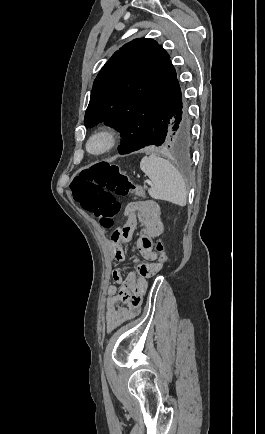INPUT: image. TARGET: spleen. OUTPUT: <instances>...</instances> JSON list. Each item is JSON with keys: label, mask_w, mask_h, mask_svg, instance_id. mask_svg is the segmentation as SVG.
<instances>
[{"label": "spleen", "mask_w": 265, "mask_h": 434, "mask_svg": "<svg viewBox=\"0 0 265 434\" xmlns=\"http://www.w3.org/2000/svg\"><path fill=\"white\" fill-rule=\"evenodd\" d=\"M140 168L149 176L152 186L148 190L154 200H166L177 206H186L187 192L185 182L169 160L159 158L156 154L145 156L140 162Z\"/></svg>", "instance_id": "obj_1"}]
</instances>
